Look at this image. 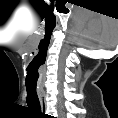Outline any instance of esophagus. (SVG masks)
<instances>
[{"instance_id":"1","label":"esophagus","mask_w":118,"mask_h":118,"mask_svg":"<svg viewBox=\"0 0 118 118\" xmlns=\"http://www.w3.org/2000/svg\"><path fill=\"white\" fill-rule=\"evenodd\" d=\"M38 97L40 101L41 111L44 113L47 109L45 92L38 90Z\"/></svg>"}]
</instances>
